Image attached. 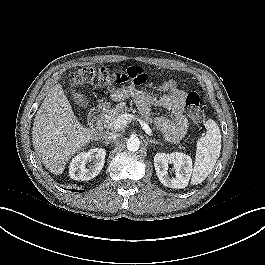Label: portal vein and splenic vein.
Returning a JSON list of instances; mask_svg holds the SVG:
<instances>
[{"instance_id":"obj_1","label":"portal vein and splenic vein","mask_w":265,"mask_h":265,"mask_svg":"<svg viewBox=\"0 0 265 265\" xmlns=\"http://www.w3.org/2000/svg\"><path fill=\"white\" fill-rule=\"evenodd\" d=\"M134 115L133 114H129V113H124V114H122V115H120L118 118H117V120L115 121V123H114V128L115 129H120V128H122L123 126H125L127 123H129V122H131L132 121V119H134ZM137 120L139 121V123L141 124V127L143 128V130L148 134V135H153L152 134V130H151V128L149 127V125L145 122V121H143V120H141V119H139V118H137Z\"/></svg>"}]
</instances>
